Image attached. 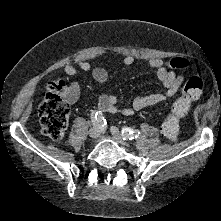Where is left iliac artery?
<instances>
[{"mask_svg":"<svg viewBox=\"0 0 221 221\" xmlns=\"http://www.w3.org/2000/svg\"><path fill=\"white\" fill-rule=\"evenodd\" d=\"M140 134V131L138 130H132L128 127H124L122 129V136L124 140H132L134 138H137Z\"/></svg>","mask_w":221,"mask_h":221,"instance_id":"44dca946","label":"left iliac artery"}]
</instances>
